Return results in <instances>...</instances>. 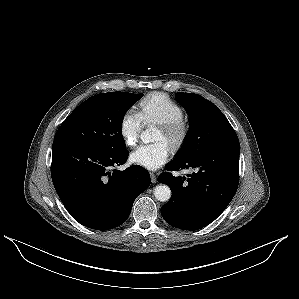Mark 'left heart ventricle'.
<instances>
[{
  "instance_id": "1",
  "label": "left heart ventricle",
  "mask_w": 299,
  "mask_h": 299,
  "mask_svg": "<svg viewBox=\"0 0 299 299\" xmlns=\"http://www.w3.org/2000/svg\"><path fill=\"white\" fill-rule=\"evenodd\" d=\"M155 140L159 141V140H164L169 144V138L166 135V133L163 131V129H161L160 127L158 128L157 134L155 136Z\"/></svg>"
}]
</instances>
